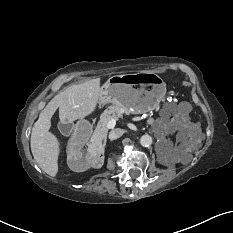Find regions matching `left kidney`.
I'll return each mask as SVG.
<instances>
[{
    "mask_svg": "<svg viewBox=\"0 0 233 233\" xmlns=\"http://www.w3.org/2000/svg\"><path fill=\"white\" fill-rule=\"evenodd\" d=\"M185 146V143L182 145V147ZM185 151H187V147H185ZM167 152H168V156L170 157V159L173 161V162H176L177 160L180 161L181 157L179 154H176V150L178 149H174L172 150V148L170 147V142L168 141L167 143Z\"/></svg>",
    "mask_w": 233,
    "mask_h": 233,
    "instance_id": "5707ae66",
    "label": "left kidney"
}]
</instances>
